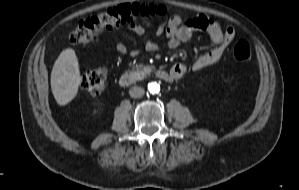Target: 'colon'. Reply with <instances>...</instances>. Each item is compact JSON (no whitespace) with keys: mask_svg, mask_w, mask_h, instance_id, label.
I'll return each instance as SVG.
<instances>
[{"mask_svg":"<svg viewBox=\"0 0 299 190\" xmlns=\"http://www.w3.org/2000/svg\"><path fill=\"white\" fill-rule=\"evenodd\" d=\"M130 7L127 8H107L90 20L83 22L75 31V37L79 41H90L99 34L106 32L119 24L129 13ZM200 28L208 30L205 22L199 23ZM105 80V73L95 71L85 78V84L92 94H97Z\"/></svg>","mask_w":299,"mask_h":190,"instance_id":"1","label":"colon"}]
</instances>
